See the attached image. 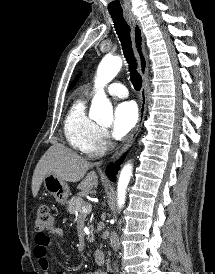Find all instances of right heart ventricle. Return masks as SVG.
<instances>
[{
  "instance_id": "e07e8e85",
  "label": "right heart ventricle",
  "mask_w": 215,
  "mask_h": 274,
  "mask_svg": "<svg viewBox=\"0 0 215 274\" xmlns=\"http://www.w3.org/2000/svg\"><path fill=\"white\" fill-rule=\"evenodd\" d=\"M98 125L88 116L86 102L77 98L70 106L64 120V135L75 150L87 153L90 140Z\"/></svg>"
}]
</instances>
